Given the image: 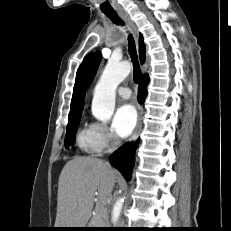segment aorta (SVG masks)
<instances>
[{"label":"aorta","mask_w":231,"mask_h":231,"mask_svg":"<svg viewBox=\"0 0 231 231\" xmlns=\"http://www.w3.org/2000/svg\"><path fill=\"white\" fill-rule=\"evenodd\" d=\"M131 64L128 61L116 62L109 60L100 80L98 81L92 101V114L102 122L111 119L114 107L116 89L118 85L130 74ZM124 197L117 199L112 210V222L116 223L119 219Z\"/></svg>","instance_id":"1"}]
</instances>
